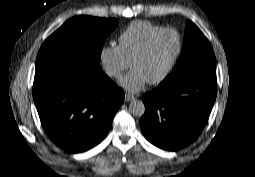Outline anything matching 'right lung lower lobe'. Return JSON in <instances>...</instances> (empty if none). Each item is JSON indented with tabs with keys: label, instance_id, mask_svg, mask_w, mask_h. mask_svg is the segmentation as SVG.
I'll use <instances>...</instances> for the list:
<instances>
[{
	"label": "right lung lower lobe",
	"instance_id": "right-lung-lower-lobe-1",
	"mask_svg": "<svg viewBox=\"0 0 255 177\" xmlns=\"http://www.w3.org/2000/svg\"><path fill=\"white\" fill-rule=\"evenodd\" d=\"M33 98L50 139L77 153L107 135L124 92L102 70L53 65L35 71Z\"/></svg>",
	"mask_w": 255,
	"mask_h": 177
}]
</instances>
